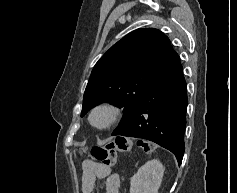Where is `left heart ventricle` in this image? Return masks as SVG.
<instances>
[{
	"label": "left heart ventricle",
	"mask_w": 237,
	"mask_h": 193,
	"mask_svg": "<svg viewBox=\"0 0 237 193\" xmlns=\"http://www.w3.org/2000/svg\"><path fill=\"white\" fill-rule=\"evenodd\" d=\"M96 122L103 123L105 121V115L104 114H98L95 118Z\"/></svg>",
	"instance_id": "left-heart-ventricle-1"
}]
</instances>
